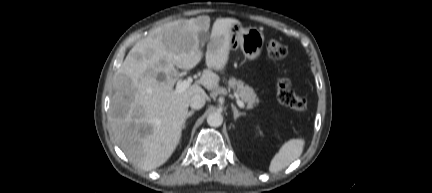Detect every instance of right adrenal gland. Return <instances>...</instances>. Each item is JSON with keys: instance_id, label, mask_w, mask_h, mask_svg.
<instances>
[{"instance_id": "2a0ac1e0", "label": "right adrenal gland", "mask_w": 432, "mask_h": 193, "mask_svg": "<svg viewBox=\"0 0 432 193\" xmlns=\"http://www.w3.org/2000/svg\"><path fill=\"white\" fill-rule=\"evenodd\" d=\"M194 110H191V111H189L188 113H187V115H186V118H185V121H184V124H183V129L186 127V121H187V119L189 118V117H191L193 114H194Z\"/></svg>"}]
</instances>
